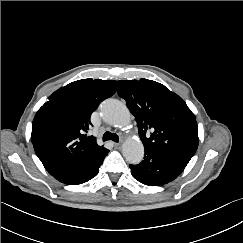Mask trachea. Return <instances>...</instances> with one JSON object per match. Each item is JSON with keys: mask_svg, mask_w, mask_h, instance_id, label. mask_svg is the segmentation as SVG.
I'll return each mask as SVG.
<instances>
[{"mask_svg": "<svg viewBox=\"0 0 243 243\" xmlns=\"http://www.w3.org/2000/svg\"><path fill=\"white\" fill-rule=\"evenodd\" d=\"M108 140H112L114 142H119V137L117 134L107 131L103 135V141H108Z\"/></svg>", "mask_w": 243, "mask_h": 243, "instance_id": "3493384b", "label": "trachea"}]
</instances>
